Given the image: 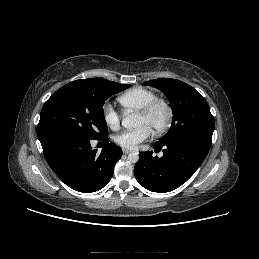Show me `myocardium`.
<instances>
[{
    "mask_svg": "<svg viewBox=\"0 0 259 259\" xmlns=\"http://www.w3.org/2000/svg\"><path fill=\"white\" fill-rule=\"evenodd\" d=\"M163 107L166 112V117L164 122L160 127L155 129L153 132L155 135H161L165 133L171 125L173 119V109L170 103L163 98H155L146 104L141 110H139V114L144 117H149L156 108Z\"/></svg>",
    "mask_w": 259,
    "mask_h": 259,
    "instance_id": "f54148a6",
    "label": "myocardium"
}]
</instances>
